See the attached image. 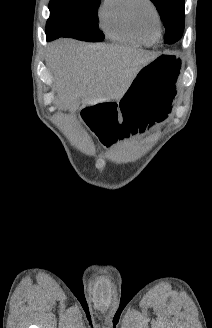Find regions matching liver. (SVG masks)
<instances>
[{
    "mask_svg": "<svg viewBox=\"0 0 212 328\" xmlns=\"http://www.w3.org/2000/svg\"><path fill=\"white\" fill-rule=\"evenodd\" d=\"M151 60L145 50L126 46L58 40L49 68L57 78L56 104L75 111L84 104L120 100L140 68Z\"/></svg>",
    "mask_w": 212,
    "mask_h": 328,
    "instance_id": "liver-1",
    "label": "liver"
}]
</instances>
